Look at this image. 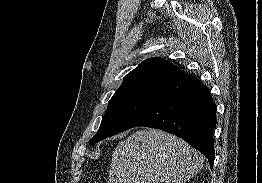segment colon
Segmentation results:
<instances>
[{
  "mask_svg": "<svg viewBox=\"0 0 262 183\" xmlns=\"http://www.w3.org/2000/svg\"><path fill=\"white\" fill-rule=\"evenodd\" d=\"M89 183H98V182H96V181H90Z\"/></svg>",
  "mask_w": 262,
  "mask_h": 183,
  "instance_id": "obj_1",
  "label": "colon"
}]
</instances>
